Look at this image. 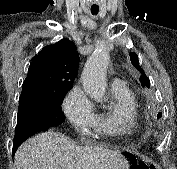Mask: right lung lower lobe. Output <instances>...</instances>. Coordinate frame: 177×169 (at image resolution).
<instances>
[{
	"label": "right lung lower lobe",
	"instance_id": "98d812e1",
	"mask_svg": "<svg viewBox=\"0 0 177 169\" xmlns=\"http://www.w3.org/2000/svg\"><path fill=\"white\" fill-rule=\"evenodd\" d=\"M52 126L39 122L33 119H26L21 122H17L16 133L13 142V152L23 143L26 139L37 132L47 131Z\"/></svg>",
	"mask_w": 177,
	"mask_h": 169
}]
</instances>
